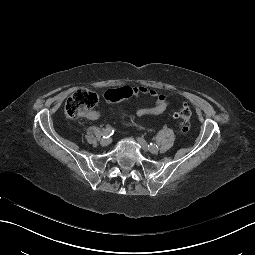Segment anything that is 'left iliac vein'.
Instances as JSON below:
<instances>
[{"instance_id":"left-iliac-vein-1","label":"left iliac vein","mask_w":255,"mask_h":255,"mask_svg":"<svg viewBox=\"0 0 255 255\" xmlns=\"http://www.w3.org/2000/svg\"><path fill=\"white\" fill-rule=\"evenodd\" d=\"M137 141L138 143L140 144L141 148L144 150V151H150L151 153L153 154H157L158 153V147H154L152 149H150L147 145V142L142 138V137H138L137 138Z\"/></svg>"}]
</instances>
